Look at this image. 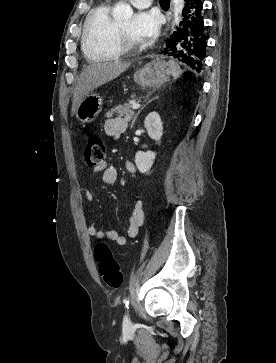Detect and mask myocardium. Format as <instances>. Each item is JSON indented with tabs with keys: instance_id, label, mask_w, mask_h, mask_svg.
I'll use <instances>...</instances> for the list:
<instances>
[{
	"instance_id": "myocardium-1",
	"label": "myocardium",
	"mask_w": 276,
	"mask_h": 363,
	"mask_svg": "<svg viewBox=\"0 0 276 363\" xmlns=\"http://www.w3.org/2000/svg\"><path fill=\"white\" fill-rule=\"evenodd\" d=\"M114 39L121 53L136 52L141 48L140 44H134L125 37L118 23L115 24Z\"/></svg>"
}]
</instances>
